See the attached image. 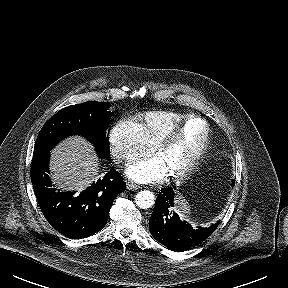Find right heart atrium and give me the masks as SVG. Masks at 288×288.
Returning a JSON list of instances; mask_svg holds the SVG:
<instances>
[{
  "label": "right heart atrium",
  "instance_id": "1",
  "mask_svg": "<svg viewBox=\"0 0 288 288\" xmlns=\"http://www.w3.org/2000/svg\"><path fill=\"white\" fill-rule=\"evenodd\" d=\"M109 143L112 157L118 164L133 162L153 151L139 124L131 119L120 120L112 127Z\"/></svg>",
  "mask_w": 288,
  "mask_h": 288
}]
</instances>
